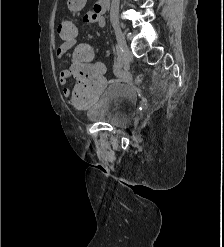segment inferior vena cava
I'll return each instance as SVG.
<instances>
[{"mask_svg": "<svg viewBox=\"0 0 224 247\" xmlns=\"http://www.w3.org/2000/svg\"><path fill=\"white\" fill-rule=\"evenodd\" d=\"M119 2L120 0H112L110 22H118Z\"/></svg>", "mask_w": 224, "mask_h": 247, "instance_id": "obj_1", "label": "inferior vena cava"}]
</instances>
